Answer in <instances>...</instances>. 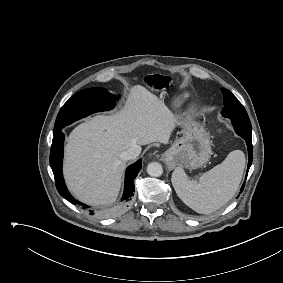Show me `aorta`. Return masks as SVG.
<instances>
[{"mask_svg": "<svg viewBox=\"0 0 283 283\" xmlns=\"http://www.w3.org/2000/svg\"><path fill=\"white\" fill-rule=\"evenodd\" d=\"M147 173L153 177H159L163 173V168L158 162H151L147 166Z\"/></svg>", "mask_w": 283, "mask_h": 283, "instance_id": "1", "label": "aorta"}]
</instances>
